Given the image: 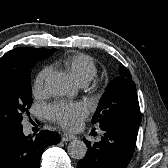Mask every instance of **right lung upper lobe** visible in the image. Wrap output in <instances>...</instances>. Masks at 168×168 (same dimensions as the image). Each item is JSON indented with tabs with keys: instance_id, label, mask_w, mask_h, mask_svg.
<instances>
[{
	"instance_id": "1",
	"label": "right lung upper lobe",
	"mask_w": 168,
	"mask_h": 168,
	"mask_svg": "<svg viewBox=\"0 0 168 168\" xmlns=\"http://www.w3.org/2000/svg\"><path fill=\"white\" fill-rule=\"evenodd\" d=\"M54 49L16 48L0 58V83L9 81L21 63L29 57H45L53 54Z\"/></svg>"
}]
</instances>
